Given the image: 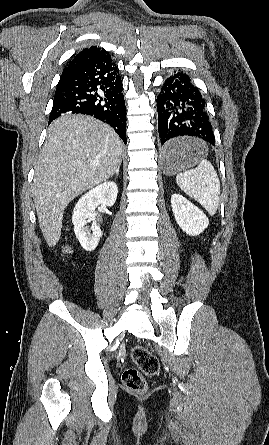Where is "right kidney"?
<instances>
[{"label": "right kidney", "mask_w": 269, "mask_h": 445, "mask_svg": "<svg viewBox=\"0 0 269 445\" xmlns=\"http://www.w3.org/2000/svg\"><path fill=\"white\" fill-rule=\"evenodd\" d=\"M118 193L115 182H104L84 194L73 210L72 222L75 235L86 251H93L98 246L101 237V227L95 221L94 211L100 205L103 208L114 205ZM93 221L91 231L88 230L87 222Z\"/></svg>", "instance_id": "1"}]
</instances>
